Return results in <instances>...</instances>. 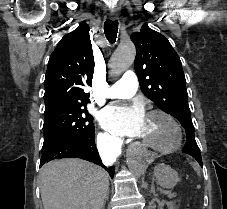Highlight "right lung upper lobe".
I'll return each instance as SVG.
<instances>
[{"instance_id": "obj_1", "label": "right lung upper lobe", "mask_w": 227, "mask_h": 209, "mask_svg": "<svg viewBox=\"0 0 227 209\" xmlns=\"http://www.w3.org/2000/svg\"><path fill=\"white\" fill-rule=\"evenodd\" d=\"M94 57L89 26L82 22L66 34L50 56L45 77L44 101L55 98L89 99L84 86L92 85Z\"/></svg>"}]
</instances>
